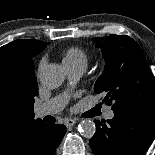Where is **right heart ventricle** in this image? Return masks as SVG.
I'll use <instances>...</instances> for the list:
<instances>
[{
    "mask_svg": "<svg viewBox=\"0 0 155 155\" xmlns=\"http://www.w3.org/2000/svg\"><path fill=\"white\" fill-rule=\"evenodd\" d=\"M64 65H87V55L81 48L73 47L66 51L63 58Z\"/></svg>",
    "mask_w": 155,
    "mask_h": 155,
    "instance_id": "e07e8e85",
    "label": "right heart ventricle"
}]
</instances>
